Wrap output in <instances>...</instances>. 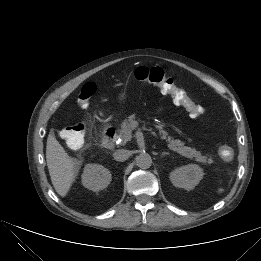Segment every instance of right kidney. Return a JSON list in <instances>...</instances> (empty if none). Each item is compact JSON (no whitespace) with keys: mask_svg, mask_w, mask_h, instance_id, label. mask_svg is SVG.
I'll use <instances>...</instances> for the list:
<instances>
[{"mask_svg":"<svg viewBox=\"0 0 261 261\" xmlns=\"http://www.w3.org/2000/svg\"><path fill=\"white\" fill-rule=\"evenodd\" d=\"M110 171L98 164H87L82 174V184L92 191L105 189L111 182Z\"/></svg>","mask_w":261,"mask_h":261,"instance_id":"obj_1","label":"right kidney"}]
</instances>
